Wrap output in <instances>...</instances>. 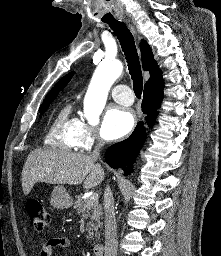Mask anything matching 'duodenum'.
I'll use <instances>...</instances> for the list:
<instances>
[{"label":"duodenum","instance_id":"obj_1","mask_svg":"<svg viewBox=\"0 0 221 256\" xmlns=\"http://www.w3.org/2000/svg\"><path fill=\"white\" fill-rule=\"evenodd\" d=\"M103 245L101 243H95L93 245V253L95 256H103Z\"/></svg>","mask_w":221,"mask_h":256}]
</instances>
